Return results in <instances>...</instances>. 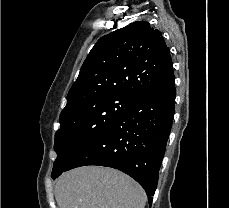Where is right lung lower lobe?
<instances>
[{"label":"right lung lower lobe","mask_w":229,"mask_h":208,"mask_svg":"<svg viewBox=\"0 0 229 208\" xmlns=\"http://www.w3.org/2000/svg\"><path fill=\"white\" fill-rule=\"evenodd\" d=\"M175 81L142 95L111 126L88 142L65 169H119L146 191L151 205L175 112Z\"/></svg>","instance_id":"1"}]
</instances>
